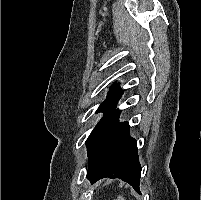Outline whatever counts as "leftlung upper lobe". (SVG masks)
Returning <instances> with one entry per match:
<instances>
[{
	"label": "left lung upper lobe",
	"mask_w": 201,
	"mask_h": 200,
	"mask_svg": "<svg viewBox=\"0 0 201 200\" xmlns=\"http://www.w3.org/2000/svg\"><path fill=\"white\" fill-rule=\"evenodd\" d=\"M122 94H123V91L120 90V86L118 84L115 83L113 84L112 87H110L106 100L103 103H101L98 110L96 111V113L103 112L104 113L103 118L98 122V124L95 126L90 136L86 140L87 147L90 141L92 140V138L94 137V135L96 134L97 130L101 126V124L108 117V115L115 109L118 103V100L121 98Z\"/></svg>",
	"instance_id": "obj_1"
}]
</instances>
